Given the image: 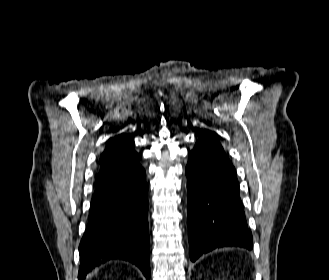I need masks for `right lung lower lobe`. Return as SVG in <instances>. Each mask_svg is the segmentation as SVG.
I'll list each match as a JSON object with an SVG mask.
<instances>
[{
	"label": "right lung lower lobe",
	"instance_id": "right-lung-lower-lobe-1",
	"mask_svg": "<svg viewBox=\"0 0 329 280\" xmlns=\"http://www.w3.org/2000/svg\"><path fill=\"white\" fill-rule=\"evenodd\" d=\"M140 165L100 171L91 200L90 215L79 254L78 279L96 266L122 259L150 277L148 185Z\"/></svg>",
	"mask_w": 329,
	"mask_h": 280
}]
</instances>
